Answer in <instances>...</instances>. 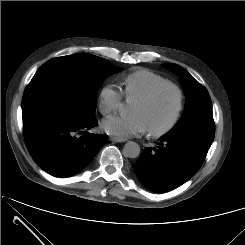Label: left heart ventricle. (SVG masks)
<instances>
[{
  "mask_svg": "<svg viewBox=\"0 0 245 245\" xmlns=\"http://www.w3.org/2000/svg\"><path fill=\"white\" fill-rule=\"evenodd\" d=\"M176 105V96L167 91L149 103H138L131 101L128 107L129 113L140 115L147 129H158L170 120Z\"/></svg>",
  "mask_w": 245,
  "mask_h": 245,
  "instance_id": "1",
  "label": "left heart ventricle"
}]
</instances>
